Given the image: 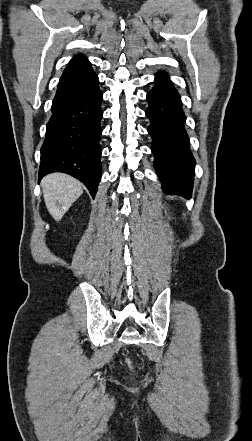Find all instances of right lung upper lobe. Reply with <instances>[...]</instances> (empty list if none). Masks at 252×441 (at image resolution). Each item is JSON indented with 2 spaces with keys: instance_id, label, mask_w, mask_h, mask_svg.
Returning a JSON list of instances; mask_svg holds the SVG:
<instances>
[{
  "instance_id": "cb5924a9",
  "label": "right lung upper lobe",
  "mask_w": 252,
  "mask_h": 441,
  "mask_svg": "<svg viewBox=\"0 0 252 441\" xmlns=\"http://www.w3.org/2000/svg\"><path fill=\"white\" fill-rule=\"evenodd\" d=\"M86 60H87V59H86L85 56H83V55H81V54L76 55V56L70 61V63H69V65H68L67 68H69V67H71V66H73V65H76V64H78V63H80V62L86 61ZM67 68H66V69H67Z\"/></svg>"
}]
</instances>
